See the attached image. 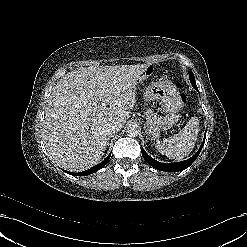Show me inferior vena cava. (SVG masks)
<instances>
[{"instance_id": "1", "label": "inferior vena cava", "mask_w": 247, "mask_h": 247, "mask_svg": "<svg viewBox=\"0 0 247 247\" xmlns=\"http://www.w3.org/2000/svg\"><path fill=\"white\" fill-rule=\"evenodd\" d=\"M122 129V124L119 122L108 123L105 126L104 132L108 137H113Z\"/></svg>"}]
</instances>
